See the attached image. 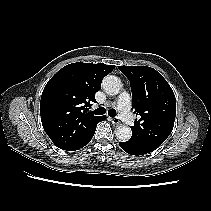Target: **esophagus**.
I'll return each instance as SVG.
<instances>
[{"mask_svg":"<svg viewBox=\"0 0 211 211\" xmlns=\"http://www.w3.org/2000/svg\"><path fill=\"white\" fill-rule=\"evenodd\" d=\"M111 121H112V123L115 124V125L120 124V120H119L118 117H113V118H111Z\"/></svg>","mask_w":211,"mask_h":211,"instance_id":"obj_1","label":"esophagus"}]
</instances>
